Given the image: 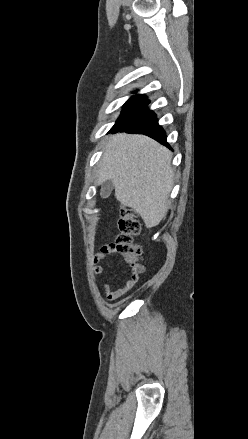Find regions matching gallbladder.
<instances>
[{
    "label": "gallbladder",
    "mask_w": 248,
    "mask_h": 439,
    "mask_svg": "<svg viewBox=\"0 0 248 439\" xmlns=\"http://www.w3.org/2000/svg\"><path fill=\"white\" fill-rule=\"evenodd\" d=\"M113 182L111 180H107L101 185L100 195L102 198H108L113 190Z\"/></svg>",
    "instance_id": "1"
}]
</instances>
